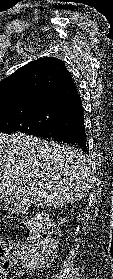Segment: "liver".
<instances>
[{
  "label": "liver",
  "instance_id": "liver-1",
  "mask_svg": "<svg viewBox=\"0 0 113 279\" xmlns=\"http://www.w3.org/2000/svg\"><path fill=\"white\" fill-rule=\"evenodd\" d=\"M87 156L80 150L24 133L0 134V199L27 209L64 206L92 188Z\"/></svg>",
  "mask_w": 113,
  "mask_h": 279
}]
</instances>
